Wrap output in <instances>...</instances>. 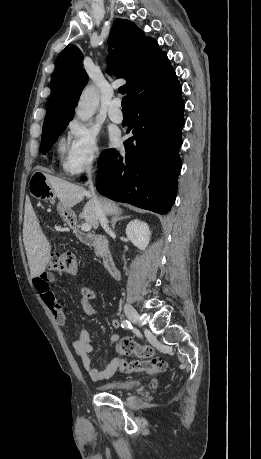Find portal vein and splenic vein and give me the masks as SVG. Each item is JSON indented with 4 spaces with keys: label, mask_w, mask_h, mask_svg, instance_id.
I'll return each instance as SVG.
<instances>
[{
    "label": "portal vein and splenic vein",
    "mask_w": 261,
    "mask_h": 459,
    "mask_svg": "<svg viewBox=\"0 0 261 459\" xmlns=\"http://www.w3.org/2000/svg\"><path fill=\"white\" fill-rule=\"evenodd\" d=\"M81 230L85 231V232L90 231L91 230V225L88 224V223H84V224L81 225Z\"/></svg>",
    "instance_id": "portal-vein-and-splenic-vein-1"
}]
</instances>
